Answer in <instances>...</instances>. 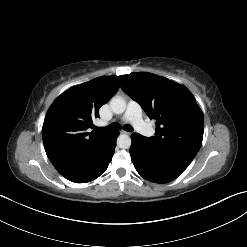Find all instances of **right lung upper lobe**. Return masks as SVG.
Wrapping results in <instances>:
<instances>
[{"label":"right lung upper lobe","instance_id":"1","mask_svg":"<svg viewBox=\"0 0 247 247\" xmlns=\"http://www.w3.org/2000/svg\"><path fill=\"white\" fill-rule=\"evenodd\" d=\"M119 89V77H99L63 92L48 110L42 128L46 154L54 167L86 160L111 133L88 129L99 117V108Z\"/></svg>","mask_w":247,"mask_h":247}]
</instances>
